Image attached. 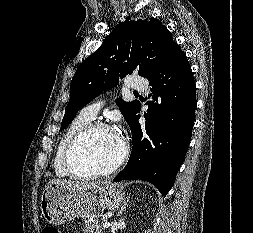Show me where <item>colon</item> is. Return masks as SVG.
Segmentation results:
<instances>
[{
	"instance_id": "5ec220e1",
	"label": "colon",
	"mask_w": 253,
	"mask_h": 233,
	"mask_svg": "<svg viewBox=\"0 0 253 233\" xmlns=\"http://www.w3.org/2000/svg\"><path fill=\"white\" fill-rule=\"evenodd\" d=\"M43 233H61V232L57 227L50 225V226H46L43 229Z\"/></svg>"
}]
</instances>
